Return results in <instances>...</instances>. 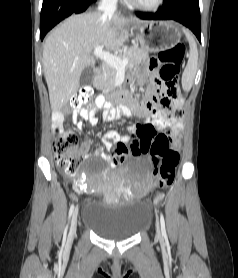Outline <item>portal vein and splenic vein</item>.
<instances>
[{"mask_svg":"<svg viewBox=\"0 0 238 278\" xmlns=\"http://www.w3.org/2000/svg\"><path fill=\"white\" fill-rule=\"evenodd\" d=\"M93 53L96 57L100 58L105 63H107L108 65H110L118 70H124L128 64V59H121L115 55H112L109 52L103 51L102 46H97L94 49Z\"/></svg>","mask_w":238,"mask_h":278,"instance_id":"18ae733b","label":"portal vein and splenic vein"}]
</instances>
